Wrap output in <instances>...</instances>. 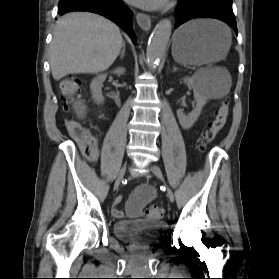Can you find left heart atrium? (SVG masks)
I'll return each instance as SVG.
<instances>
[{
  "mask_svg": "<svg viewBox=\"0 0 279 279\" xmlns=\"http://www.w3.org/2000/svg\"><path fill=\"white\" fill-rule=\"evenodd\" d=\"M127 2L146 9H159L166 5L167 0H126Z\"/></svg>",
  "mask_w": 279,
  "mask_h": 279,
  "instance_id": "obj_1",
  "label": "left heart atrium"
}]
</instances>
